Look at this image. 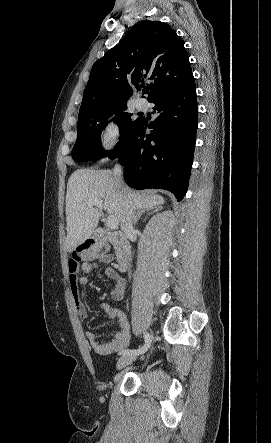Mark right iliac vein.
I'll list each match as a JSON object with an SVG mask.
<instances>
[{
    "label": "right iliac vein",
    "mask_w": 271,
    "mask_h": 443,
    "mask_svg": "<svg viewBox=\"0 0 271 443\" xmlns=\"http://www.w3.org/2000/svg\"><path fill=\"white\" fill-rule=\"evenodd\" d=\"M137 358L136 355H123L118 359L116 368L117 370H121L135 361Z\"/></svg>",
    "instance_id": "63e3f726"
}]
</instances>
